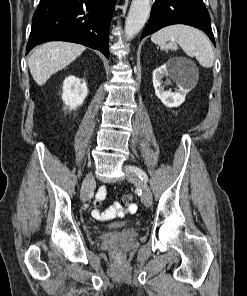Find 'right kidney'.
Here are the masks:
<instances>
[{"label": "right kidney", "instance_id": "right-kidney-1", "mask_svg": "<svg viewBox=\"0 0 247 296\" xmlns=\"http://www.w3.org/2000/svg\"><path fill=\"white\" fill-rule=\"evenodd\" d=\"M88 94V88L84 80L73 75L65 78L63 82L62 100L70 110L82 105Z\"/></svg>", "mask_w": 247, "mask_h": 296}]
</instances>
